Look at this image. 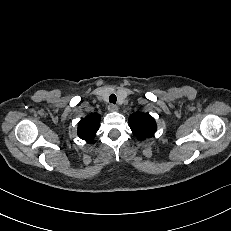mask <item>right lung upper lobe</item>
Here are the masks:
<instances>
[{
	"instance_id": "1",
	"label": "right lung upper lobe",
	"mask_w": 231,
	"mask_h": 231,
	"mask_svg": "<svg viewBox=\"0 0 231 231\" xmlns=\"http://www.w3.org/2000/svg\"><path fill=\"white\" fill-rule=\"evenodd\" d=\"M100 115L91 114L83 118L78 124V136L83 140H91L99 129Z\"/></svg>"
}]
</instances>
